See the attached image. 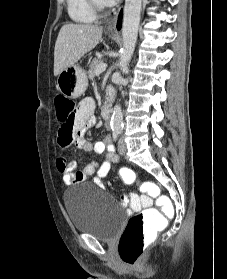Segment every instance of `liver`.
I'll return each mask as SVG.
<instances>
[{"label": "liver", "instance_id": "6515ba94", "mask_svg": "<svg viewBox=\"0 0 227 279\" xmlns=\"http://www.w3.org/2000/svg\"><path fill=\"white\" fill-rule=\"evenodd\" d=\"M103 28L91 24H65L59 31L54 49V75L74 65L94 49L102 37Z\"/></svg>", "mask_w": 227, "mask_h": 279}]
</instances>
